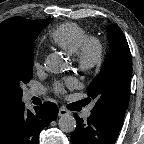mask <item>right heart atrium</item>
Listing matches in <instances>:
<instances>
[{
    "label": "right heart atrium",
    "mask_w": 144,
    "mask_h": 144,
    "mask_svg": "<svg viewBox=\"0 0 144 144\" xmlns=\"http://www.w3.org/2000/svg\"><path fill=\"white\" fill-rule=\"evenodd\" d=\"M33 65L35 68H40L41 67V60L38 57H36L33 61Z\"/></svg>",
    "instance_id": "d8ad5b80"
}]
</instances>
